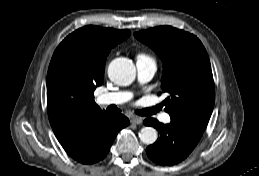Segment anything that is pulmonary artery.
<instances>
[{"label": "pulmonary artery", "mask_w": 259, "mask_h": 176, "mask_svg": "<svg viewBox=\"0 0 259 176\" xmlns=\"http://www.w3.org/2000/svg\"><path fill=\"white\" fill-rule=\"evenodd\" d=\"M137 76L141 84L147 83L154 76L157 66L152 58H139L136 62ZM132 98V93L127 91H118L111 93H104L98 97V103L101 105H119L129 101ZM170 115L164 113L161 115L163 123H169Z\"/></svg>", "instance_id": "obj_1"}]
</instances>
